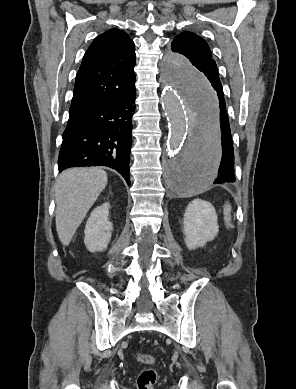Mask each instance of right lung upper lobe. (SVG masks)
<instances>
[{"mask_svg": "<svg viewBox=\"0 0 296 389\" xmlns=\"http://www.w3.org/2000/svg\"><path fill=\"white\" fill-rule=\"evenodd\" d=\"M135 46L122 30L97 36L76 76L69 116L120 97L135 81Z\"/></svg>", "mask_w": 296, "mask_h": 389, "instance_id": "1", "label": "right lung upper lobe"}]
</instances>
